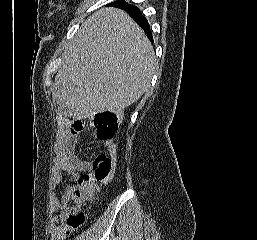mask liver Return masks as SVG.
<instances>
[{
	"label": "liver",
	"instance_id": "liver-1",
	"mask_svg": "<svg viewBox=\"0 0 257 240\" xmlns=\"http://www.w3.org/2000/svg\"><path fill=\"white\" fill-rule=\"evenodd\" d=\"M154 50L124 11L103 8L85 21L62 55L53 95L74 117L124 109L149 88Z\"/></svg>",
	"mask_w": 257,
	"mask_h": 240
}]
</instances>
